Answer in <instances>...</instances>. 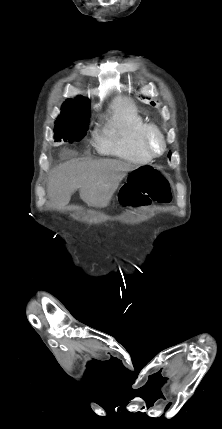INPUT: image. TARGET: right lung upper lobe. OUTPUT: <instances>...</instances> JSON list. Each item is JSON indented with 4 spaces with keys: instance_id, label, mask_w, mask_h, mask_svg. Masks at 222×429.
Wrapping results in <instances>:
<instances>
[{
    "instance_id": "cb5924a9",
    "label": "right lung upper lobe",
    "mask_w": 222,
    "mask_h": 429,
    "mask_svg": "<svg viewBox=\"0 0 222 429\" xmlns=\"http://www.w3.org/2000/svg\"><path fill=\"white\" fill-rule=\"evenodd\" d=\"M78 97H80V98H82L83 100H85V101H88V102H89V100H88V99H86V98H84V97H82V96H78Z\"/></svg>"
}]
</instances>
